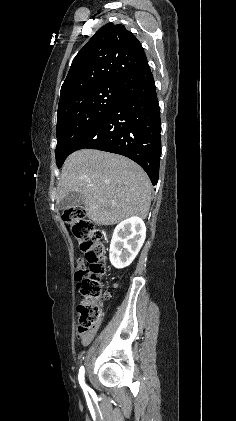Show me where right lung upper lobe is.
I'll use <instances>...</instances> for the list:
<instances>
[{"label":"right lung upper lobe","mask_w":236,"mask_h":421,"mask_svg":"<svg viewBox=\"0 0 236 421\" xmlns=\"http://www.w3.org/2000/svg\"><path fill=\"white\" fill-rule=\"evenodd\" d=\"M147 63L138 39L123 25L108 23L74 58L61 87L59 106L83 92L119 86L123 77Z\"/></svg>","instance_id":"cb5924a9"}]
</instances>
